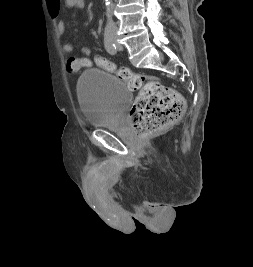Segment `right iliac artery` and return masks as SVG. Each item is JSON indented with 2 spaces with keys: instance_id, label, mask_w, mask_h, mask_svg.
I'll return each instance as SVG.
<instances>
[{
  "instance_id": "right-iliac-artery-1",
  "label": "right iliac artery",
  "mask_w": 253,
  "mask_h": 267,
  "mask_svg": "<svg viewBox=\"0 0 253 267\" xmlns=\"http://www.w3.org/2000/svg\"><path fill=\"white\" fill-rule=\"evenodd\" d=\"M104 45L108 53H110L111 55L116 54L117 48L115 43L113 42V38L110 31H105Z\"/></svg>"
}]
</instances>
